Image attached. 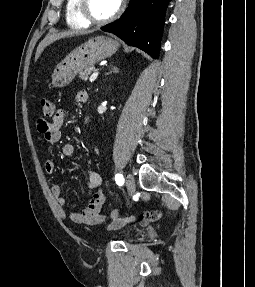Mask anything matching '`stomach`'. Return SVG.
<instances>
[{"label": "stomach", "instance_id": "obj_1", "mask_svg": "<svg viewBox=\"0 0 255 287\" xmlns=\"http://www.w3.org/2000/svg\"><path fill=\"white\" fill-rule=\"evenodd\" d=\"M118 46L117 40H113V38H106V36L90 38L88 42L81 44L69 54L66 60V68L53 74L55 88L67 86L79 72H83L86 68H91V66L98 64L105 58H110L116 52Z\"/></svg>", "mask_w": 255, "mask_h": 287}]
</instances>
